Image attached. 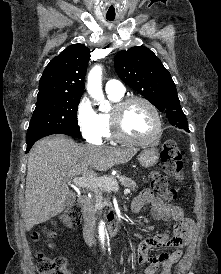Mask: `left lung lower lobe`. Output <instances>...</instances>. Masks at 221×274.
<instances>
[{
	"mask_svg": "<svg viewBox=\"0 0 221 274\" xmlns=\"http://www.w3.org/2000/svg\"><path fill=\"white\" fill-rule=\"evenodd\" d=\"M178 128L183 129V130H185L186 132H190L188 127L178 126Z\"/></svg>",
	"mask_w": 221,
	"mask_h": 274,
	"instance_id": "obj_1",
	"label": "left lung lower lobe"
}]
</instances>
